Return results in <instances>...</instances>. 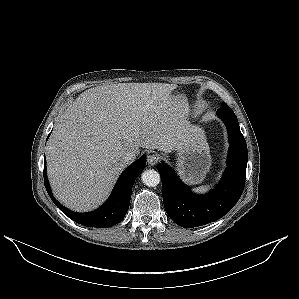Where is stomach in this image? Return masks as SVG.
<instances>
[{"label":"stomach","mask_w":299,"mask_h":299,"mask_svg":"<svg viewBox=\"0 0 299 299\" xmlns=\"http://www.w3.org/2000/svg\"><path fill=\"white\" fill-rule=\"evenodd\" d=\"M183 95L175 92L178 98ZM190 137L178 152L177 169L180 177L188 184L201 183L211 166V155L203 131L195 126L190 127Z\"/></svg>","instance_id":"stomach-1"}]
</instances>
